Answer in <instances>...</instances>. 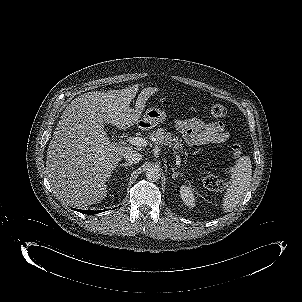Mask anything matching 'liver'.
Returning a JSON list of instances; mask_svg holds the SVG:
<instances>
[{"instance_id": "liver-1", "label": "liver", "mask_w": 302, "mask_h": 302, "mask_svg": "<svg viewBox=\"0 0 302 302\" xmlns=\"http://www.w3.org/2000/svg\"><path fill=\"white\" fill-rule=\"evenodd\" d=\"M135 94L133 88L87 92L63 111L48 146L46 166L53 188L68 203L86 207L105 198L112 171L124 151L133 147L111 142L104 123L120 129L136 124L144 105L140 97L135 109L129 107Z\"/></svg>"}]
</instances>
